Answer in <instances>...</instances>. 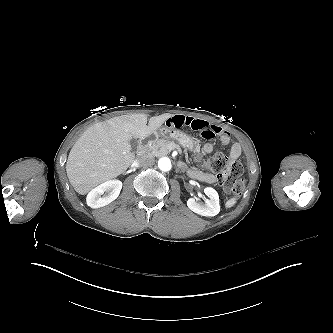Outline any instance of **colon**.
<instances>
[{
	"label": "colon",
	"mask_w": 333,
	"mask_h": 333,
	"mask_svg": "<svg viewBox=\"0 0 333 333\" xmlns=\"http://www.w3.org/2000/svg\"><path fill=\"white\" fill-rule=\"evenodd\" d=\"M196 161L201 162L207 171L216 173V183L227 195L243 193L245 189L243 166L239 161L236 164L232 156L217 152L207 157L196 156Z\"/></svg>",
	"instance_id": "1"
}]
</instances>
